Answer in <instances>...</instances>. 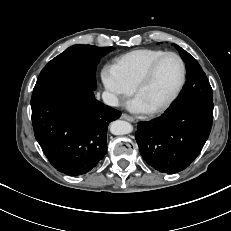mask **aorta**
<instances>
[{
  "mask_svg": "<svg viewBox=\"0 0 231 231\" xmlns=\"http://www.w3.org/2000/svg\"><path fill=\"white\" fill-rule=\"evenodd\" d=\"M133 131V126L123 120L113 121L110 125V132L114 135H125Z\"/></svg>",
  "mask_w": 231,
  "mask_h": 231,
  "instance_id": "obj_1",
  "label": "aorta"
}]
</instances>
